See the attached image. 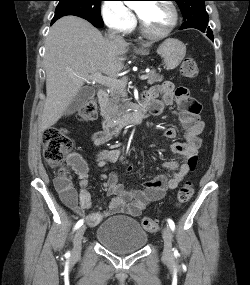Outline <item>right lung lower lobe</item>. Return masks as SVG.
Instances as JSON below:
<instances>
[{"label":"right lung lower lobe","mask_w":250,"mask_h":285,"mask_svg":"<svg viewBox=\"0 0 250 285\" xmlns=\"http://www.w3.org/2000/svg\"><path fill=\"white\" fill-rule=\"evenodd\" d=\"M94 25V24H93ZM95 27H98V28H102L103 26H99V25H94Z\"/></svg>","instance_id":"obj_1"}]
</instances>
